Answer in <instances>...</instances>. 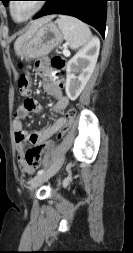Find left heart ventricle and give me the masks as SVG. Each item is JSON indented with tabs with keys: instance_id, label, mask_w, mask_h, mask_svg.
I'll return each mask as SVG.
<instances>
[{
	"instance_id": "b2bd125f",
	"label": "left heart ventricle",
	"mask_w": 133,
	"mask_h": 253,
	"mask_svg": "<svg viewBox=\"0 0 133 253\" xmlns=\"http://www.w3.org/2000/svg\"><path fill=\"white\" fill-rule=\"evenodd\" d=\"M36 1H14L12 8L16 19L26 17L36 6Z\"/></svg>"
}]
</instances>
